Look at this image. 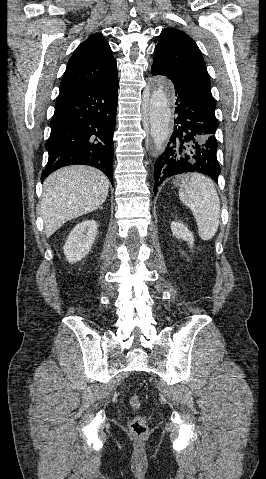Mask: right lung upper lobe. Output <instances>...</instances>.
<instances>
[{"label": "right lung upper lobe", "mask_w": 266, "mask_h": 479, "mask_svg": "<svg viewBox=\"0 0 266 479\" xmlns=\"http://www.w3.org/2000/svg\"><path fill=\"white\" fill-rule=\"evenodd\" d=\"M117 77L112 50L101 34H94L79 45L71 56L60 90L110 81Z\"/></svg>", "instance_id": "cb5924a9"}]
</instances>
